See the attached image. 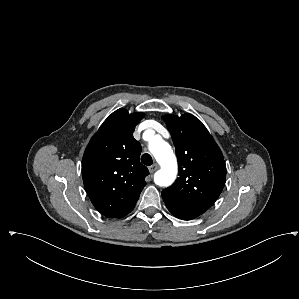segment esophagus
<instances>
[{
	"label": "esophagus",
	"instance_id": "1",
	"mask_svg": "<svg viewBox=\"0 0 299 299\" xmlns=\"http://www.w3.org/2000/svg\"><path fill=\"white\" fill-rule=\"evenodd\" d=\"M159 168L158 164H153L149 167L150 173H154Z\"/></svg>",
	"mask_w": 299,
	"mask_h": 299
}]
</instances>
